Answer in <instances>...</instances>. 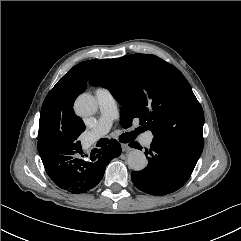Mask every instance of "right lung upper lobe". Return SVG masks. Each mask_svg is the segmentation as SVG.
<instances>
[{"label":"right lung upper lobe","instance_id":"obj_1","mask_svg":"<svg viewBox=\"0 0 241 241\" xmlns=\"http://www.w3.org/2000/svg\"><path fill=\"white\" fill-rule=\"evenodd\" d=\"M97 60L82 62L65 74L46 96L39 120L38 149L58 152L77 145L85 130L83 121L73 110L74 98L85 91L90 72Z\"/></svg>","mask_w":241,"mask_h":241}]
</instances>
